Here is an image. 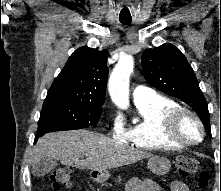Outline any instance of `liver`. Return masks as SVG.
<instances>
[{"label":"liver","instance_id":"obj_1","mask_svg":"<svg viewBox=\"0 0 221 191\" xmlns=\"http://www.w3.org/2000/svg\"><path fill=\"white\" fill-rule=\"evenodd\" d=\"M33 167L44 158L66 166L104 171L132 164L151 154L88 130L52 132L41 137L34 147Z\"/></svg>","mask_w":221,"mask_h":191}]
</instances>
